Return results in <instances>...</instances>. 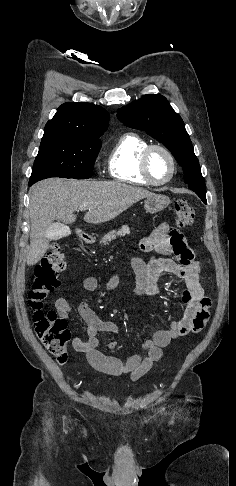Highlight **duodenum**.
I'll list each match as a JSON object with an SVG mask.
<instances>
[{
	"label": "duodenum",
	"instance_id": "duodenum-1",
	"mask_svg": "<svg viewBox=\"0 0 236 486\" xmlns=\"http://www.w3.org/2000/svg\"><path fill=\"white\" fill-rule=\"evenodd\" d=\"M78 236L84 242H86L88 240L87 236L82 232H78Z\"/></svg>",
	"mask_w": 236,
	"mask_h": 486
}]
</instances>
